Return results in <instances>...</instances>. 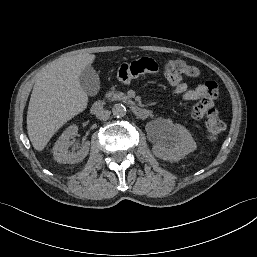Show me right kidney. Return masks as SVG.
Here are the masks:
<instances>
[{"mask_svg": "<svg viewBox=\"0 0 257 257\" xmlns=\"http://www.w3.org/2000/svg\"><path fill=\"white\" fill-rule=\"evenodd\" d=\"M78 133L76 125L69 126L59 137L53 147L54 160L63 164H74L82 161L89 152V142H84L78 151H69L70 139Z\"/></svg>", "mask_w": 257, "mask_h": 257, "instance_id": "1", "label": "right kidney"}]
</instances>
